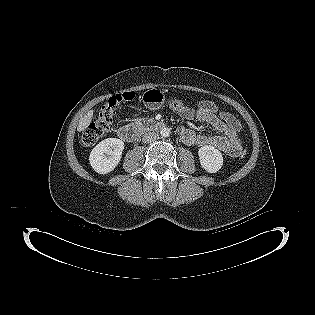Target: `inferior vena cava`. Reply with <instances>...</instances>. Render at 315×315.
<instances>
[{
	"label": "inferior vena cava",
	"mask_w": 315,
	"mask_h": 315,
	"mask_svg": "<svg viewBox=\"0 0 315 315\" xmlns=\"http://www.w3.org/2000/svg\"><path fill=\"white\" fill-rule=\"evenodd\" d=\"M158 138H159L158 133H156V132H148V133H145L143 135L142 140H143L144 143H152V142L156 141Z\"/></svg>",
	"instance_id": "obj_1"
}]
</instances>
